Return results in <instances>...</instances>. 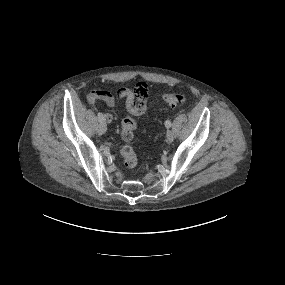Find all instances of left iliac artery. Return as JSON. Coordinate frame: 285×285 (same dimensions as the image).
I'll list each match as a JSON object with an SVG mask.
<instances>
[{
	"mask_svg": "<svg viewBox=\"0 0 285 285\" xmlns=\"http://www.w3.org/2000/svg\"><path fill=\"white\" fill-rule=\"evenodd\" d=\"M165 126H166L167 128H170V127H171V122H170L169 120H167V121L165 122Z\"/></svg>",
	"mask_w": 285,
	"mask_h": 285,
	"instance_id": "1",
	"label": "left iliac artery"
}]
</instances>
